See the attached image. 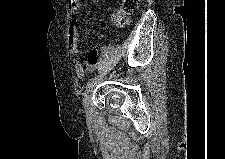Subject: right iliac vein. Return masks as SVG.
I'll return each mask as SVG.
<instances>
[{
	"instance_id": "obj_1",
	"label": "right iliac vein",
	"mask_w": 225,
	"mask_h": 159,
	"mask_svg": "<svg viewBox=\"0 0 225 159\" xmlns=\"http://www.w3.org/2000/svg\"><path fill=\"white\" fill-rule=\"evenodd\" d=\"M93 92V87L87 90V93L83 99V105L87 113L91 111V94Z\"/></svg>"
}]
</instances>
